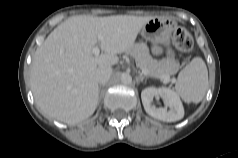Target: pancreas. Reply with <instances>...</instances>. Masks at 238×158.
<instances>
[{
  "label": "pancreas",
  "instance_id": "1",
  "mask_svg": "<svg viewBox=\"0 0 238 158\" xmlns=\"http://www.w3.org/2000/svg\"><path fill=\"white\" fill-rule=\"evenodd\" d=\"M127 54L135 59L136 64L140 69L146 68L150 77L160 78L164 81L162 78L163 76L170 77V75L175 72L171 63L154 59L150 55L149 49L145 43L135 44L127 51Z\"/></svg>",
  "mask_w": 238,
  "mask_h": 158
}]
</instances>
